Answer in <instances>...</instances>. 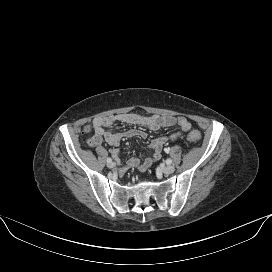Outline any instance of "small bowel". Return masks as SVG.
Returning a JSON list of instances; mask_svg holds the SVG:
<instances>
[{"instance_id": "obj_1", "label": "small bowel", "mask_w": 272, "mask_h": 272, "mask_svg": "<svg viewBox=\"0 0 272 272\" xmlns=\"http://www.w3.org/2000/svg\"><path fill=\"white\" fill-rule=\"evenodd\" d=\"M115 122H121L126 124H133L144 126L152 131L159 130L162 127L178 126L180 131L170 135L161 136L154 139L151 143V149L153 155L146 157L143 161L138 158L131 157L126 164L122 167L123 170L129 168H137L140 171H146L155 161L159 160L162 155L163 146L168 141H175L181 137V135L191 128V123L183 116L172 115H152L144 116L134 113L116 114L112 116L99 117L93 120L94 126V145H100L103 141L111 146H118L122 138L125 137H140L145 138L146 133L140 129H130L123 132H110L105 128L112 126ZM114 157L118 156V152L114 150L112 152Z\"/></svg>"}]
</instances>
